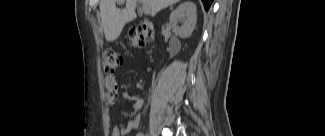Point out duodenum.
I'll list each match as a JSON object with an SVG mask.
<instances>
[{"label": "duodenum", "instance_id": "duodenum-1", "mask_svg": "<svg viewBox=\"0 0 325 136\" xmlns=\"http://www.w3.org/2000/svg\"><path fill=\"white\" fill-rule=\"evenodd\" d=\"M142 27L148 30H151L153 28L152 24L148 23V22H144L142 23Z\"/></svg>", "mask_w": 325, "mask_h": 136}]
</instances>
